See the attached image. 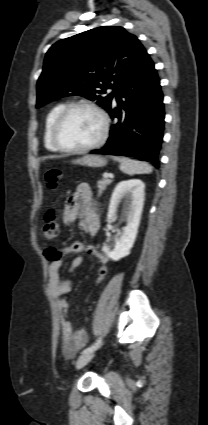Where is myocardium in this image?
Here are the masks:
<instances>
[{"label": "myocardium", "mask_w": 208, "mask_h": 425, "mask_svg": "<svg viewBox=\"0 0 208 425\" xmlns=\"http://www.w3.org/2000/svg\"><path fill=\"white\" fill-rule=\"evenodd\" d=\"M79 108H83V109H87L90 110L92 112H94L100 119L101 122V132L100 135L98 137V139L96 141H94L93 143L81 147V148H70V147H66L64 146L58 139V131L64 121V119L66 118V116L73 110L75 109H79ZM108 132H109V118L107 116V114L96 104L88 102V101H76V102H72L69 103L67 105H65L61 111L58 113V115L56 116L53 125H52V129H51V139H52V143L53 145L60 151L65 152V153H70V154H81V153H86L89 152L99 146H101L107 139L108 136Z\"/></svg>", "instance_id": "obj_1"}]
</instances>
